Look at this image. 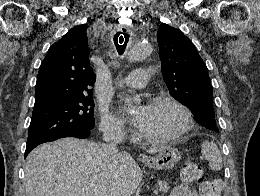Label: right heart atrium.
I'll return each mask as SVG.
<instances>
[{
    "label": "right heart atrium",
    "mask_w": 260,
    "mask_h": 196,
    "mask_svg": "<svg viewBox=\"0 0 260 196\" xmlns=\"http://www.w3.org/2000/svg\"><path fill=\"white\" fill-rule=\"evenodd\" d=\"M101 128L104 131L124 129L122 120L113 114L108 108L101 110Z\"/></svg>",
    "instance_id": "d8ad5b80"
}]
</instances>
